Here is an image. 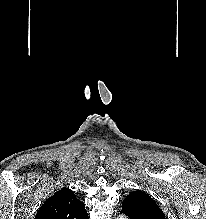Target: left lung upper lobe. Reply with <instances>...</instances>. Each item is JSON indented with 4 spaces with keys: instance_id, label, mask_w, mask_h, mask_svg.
I'll return each instance as SVG.
<instances>
[{
    "instance_id": "left-lung-upper-lobe-1",
    "label": "left lung upper lobe",
    "mask_w": 206,
    "mask_h": 219,
    "mask_svg": "<svg viewBox=\"0 0 206 219\" xmlns=\"http://www.w3.org/2000/svg\"><path fill=\"white\" fill-rule=\"evenodd\" d=\"M122 210L138 219H166L155 201L145 192H131L122 203Z\"/></svg>"
}]
</instances>
